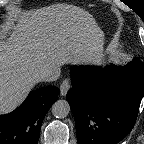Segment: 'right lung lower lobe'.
<instances>
[{"label":"right lung lower lobe","mask_w":144,"mask_h":144,"mask_svg":"<svg viewBox=\"0 0 144 144\" xmlns=\"http://www.w3.org/2000/svg\"><path fill=\"white\" fill-rule=\"evenodd\" d=\"M58 95L57 87L40 88L14 112L0 115V144H38L42 121Z\"/></svg>","instance_id":"98d812e1"}]
</instances>
